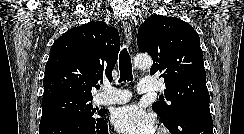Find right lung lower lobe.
I'll return each mask as SVG.
<instances>
[{
    "label": "right lung lower lobe",
    "instance_id": "1",
    "mask_svg": "<svg viewBox=\"0 0 244 134\" xmlns=\"http://www.w3.org/2000/svg\"><path fill=\"white\" fill-rule=\"evenodd\" d=\"M39 134H108V125L103 118L64 119L47 124Z\"/></svg>",
    "mask_w": 244,
    "mask_h": 134
}]
</instances>
